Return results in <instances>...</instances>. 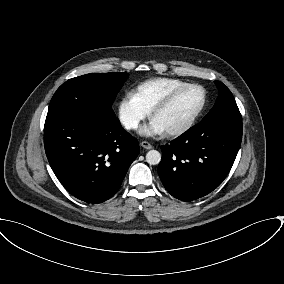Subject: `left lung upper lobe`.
I'll use <instances>...</instances> for the list:
<instances>
[{
    "label": "left lung upper lobe",
    "mask_w": 284,
    "mask_h": 284,
    "mask_svg": "<svg viewBox=\"0 0 284 284\" xmlns=\"http://www.w3.org/2000/svg\"><path fill=\"white\" fill-rule=\"evenodd\" d=\"M215 83L218 87L219 96L213 108L201 122H207L218 118L241 119L240 111L230 90L220 81H215Z\"/></svg>",
    "instance_id": "left-lung-upper-lobe-1"
}]
</instances>
